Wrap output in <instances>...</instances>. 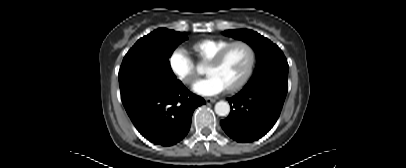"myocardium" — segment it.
Masks as SVG:
<instances>
[{
  "mask_svg": "<svg viewBox=\"0 0 406 168\" xmlns=\"http://www.w3.org/2000/svg\"><path fill=\"white\" fill-rule=\"evenodd\" d=\"M236 45H244L248 48L249 53H250V60H249V64L248 67L244 73V75L242 76V78L234 85L228 87L225 89V91L227 93H233L236 92L238 90H240L250 79L253 70H254V66L256 63V50L253 47V45L251 43H249L248 41L245 40H236L233 41L231 43H229L228 45H226L225 47H223L221 50H219L208 62H207V66H211V67H215L218 66L223 58L225 57V55L227 54V52L234 46Z\"/></svg>",
  "mask_w": 406,
  "mask_h": 168,
  "instance_id": "1",
  "label": "myocardium"
}]
</instances>
